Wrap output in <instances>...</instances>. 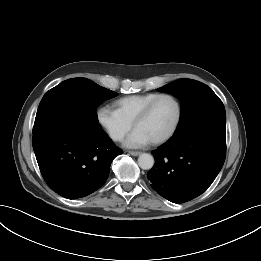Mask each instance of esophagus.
I'll list each match as a JSON object with an SVG mask.
<instances>
[{
    "instance_id": "esophagus-1",
    "label": "esophagus",
    "mask_w": 261,
    "mask_h": 261,
    "mask_svg": "<svg viewBox=\"0 0 261 261\" xmlns=\"http://www.w3.org/2000/svg\"><path fill=\"white\" fill-rule=\"evenodd\" d=\"M132 156H138V155H140V152H138V151H130L129 152Z\"/></svg>"
}]
</instances>
